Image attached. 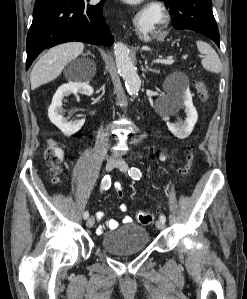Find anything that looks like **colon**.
I'll return each mask as SVG.
<instances>
[{
  "mask_svg": "<svg viewBox=\"0 0 247 299\" xmlns=\"http://www.w3.org/2000/svg\"><path fill=\"white\" fill-rule=\"evenodd\" d=\"M195 87L198 92V95L202 102H206L208 98V92L205 84L201 80H197L195 82ZM45 159L47 161V168L50 173V175L53 177L55 181H58L59 175L62 172L60 163L63 159V151L62 149L56 144L54 140H49L48 146L45 151ZM193 161H194V151L193 148H189V150L186 153V162L184 166L181 169V173L183 176H188L192 170L193 167ZM117 192H121L122 188L119 184L116 189ZM137 220L139 223L143 225H149L154 220V215L145 212V211H139L136 215Z\"/></svg>",
  "mask_w": 247,
  "mask_h": 299,
  "instance_id": "obj_1",
  "label": "colon"
}]
</instances>
